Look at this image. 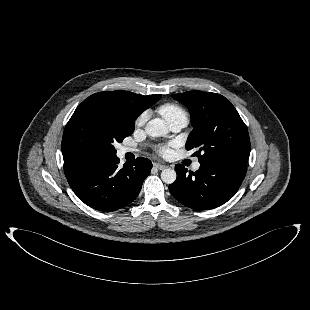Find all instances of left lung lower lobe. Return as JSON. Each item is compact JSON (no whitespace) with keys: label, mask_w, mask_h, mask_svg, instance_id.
I'll list each match as a JSON object with an SVG mask.
<instances>
[{"label":"left lung lower lobe","mask_w":310,"mask_h":310,"mask_svg":"<svg viewBox=\"0 0 310 310\" xmlns=\"http://www.w3.org/2000/svg\"><path fill=\"white\" fill-rule=\"evenodd\" d=\"M177 179L169 191L183 205L199 210L216 208L238 191L246 167L227 162L201 164L196 172L175 165Z\"/></svg>","instance_id":"1"}]
</instances>
